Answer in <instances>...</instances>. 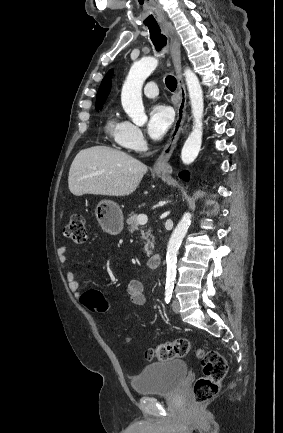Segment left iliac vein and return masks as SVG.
<instances>
[{
    "instance_id": "4c4485c4",
    "label": "left iliac vein",
    "mask_w": 283,
    "mask_h": 433,
    "mask_svg": "<svg viewBox=\"0 0 283 433\" xmlns=\"http://www.w3.org/2000/svg\"><path fill=\"white\" fill-rule=\"evenodd\" d=\"M172 309L175 313H179L180 306H179V302L176 299H174L172 302Z\"/></svg>"
}]
</instances>
